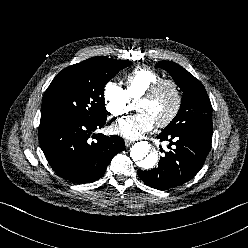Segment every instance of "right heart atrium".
Segmentation results:
<instances>
[{
	"label": "right heart atrium",
	"mask_w": 248,
	"mask_h": 248,
	"mask_svg": "<svg viewBox=\"0 0 248 248\" xmlns=\"http://www.w3.org/2000/svg\"><path fill=\"white\" fill-rule=\"evenodd\" d=\"M107 111L111 116L120 118L127 114L133 106L126 91L114 82H108L103 92Z\"/></svg>",
	"instance_id": "right-heart-atrium-1"
}]
</instances>
